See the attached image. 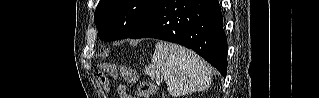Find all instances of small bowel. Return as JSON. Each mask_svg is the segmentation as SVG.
I'll return each mask as SVG.
<instances>
[{"instance_id":"1","label":"small bowel","mask_w":319,"mask_h":98,"mask_svg":"<svg viewBox=\"0 0 319 98\" xmlns=\"http://www.w3.org/2000/svg\"><path fill=\"white\" fill-rule=\"evenodd\" d=\"M120 92H121V96L122 98H130V96L126 95V93L124 92L125 91V88L123 86H121L119 88Z\"/></svg>"}]
</instances>
